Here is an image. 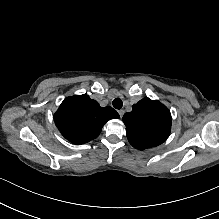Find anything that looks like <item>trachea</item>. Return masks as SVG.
<instances>
[{
	"instance_id": "obj_1",
	"label": "trachea",
	"mask_w": 219,
	"mask_h": 219,
	"mask_svg": "<svg viewBox=\"0 0 219 219\" xmlns=\"http://www.w3.org/2000/svg\"><path fill=\"white\" fill-rule=\"evenodd\" d=\"M112 105L116 109H121L123 107V102L120 98H115L112 102Z\"/></svg>"
}]
</instances>
